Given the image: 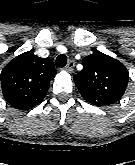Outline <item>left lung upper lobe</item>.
<instances>
[{
    "mask_svg": "<svg viewBox=\"0 0 135 165\" xmlns=\"http://www.w3.org/2000/svg\"><path fill=\"white\" fill-rule=\"evenodd\" d=\"M129 78L126 67L99 51L83 59V69L74 81L83 98L96 106L117 102L125 92Z\"/></svg>",
    "mask_w": 135,
    "mask_h": 165,
    "instance_id": "5c2ea615",
    "label": "left lung upper lobe"
}]
</instances>
